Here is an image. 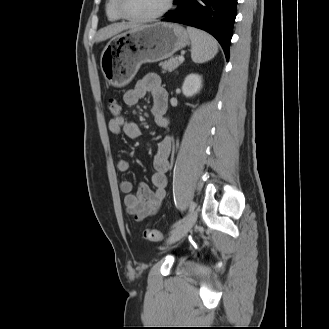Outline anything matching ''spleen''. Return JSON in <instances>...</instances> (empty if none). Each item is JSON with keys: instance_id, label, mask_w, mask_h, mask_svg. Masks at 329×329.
<instances>
[{"instance_id": "1", "label": "spleen", "mask_w": 329, "mask_h": 329, "mask_svg": "<svg viewBox=\"0 0 329 329\" xmlns=\"http://www.w3.org/2000/svg\"><path fill=\"white\" fill-rule=\"evenodd\" d=\"M187 31L191 40V58L195 63H204L218 53L217 41L208 33L187 27Z\"/></svg>"}]
</instances>
